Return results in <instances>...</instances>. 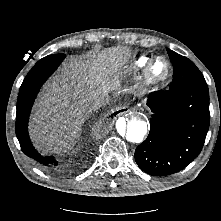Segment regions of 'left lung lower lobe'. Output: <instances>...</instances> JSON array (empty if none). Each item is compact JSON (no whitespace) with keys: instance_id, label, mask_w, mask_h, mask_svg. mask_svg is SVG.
<instances>
[{"instance_id":"left-lung-lower-lobe-1","label":"left lung lower lobe","mask_w":221,"mask_h":221,"mask_svg":"<svg viewBox=\"0 0 221 221\" xmlns=\"http://www.w3.org/2000/svg\"><path fill=\"white\" fill-rule=\"evenodd\" d=\"M150 132L135 150L138 166L151 175L166 176L190 164L201 152L209 128L206 82L156 91L148 96Z\"/></svg>"}]
</instances>
